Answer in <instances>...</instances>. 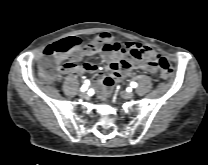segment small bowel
<instances>
[{
    "label": "small bowel",
    "instance_id": "small-bowel-1",
    "mask_svg": "<svg viewBox=\"0 0 208 165\" xmlns=\"http://www.w3.org/2000/svg\"><path fill=\"white\" fill-rule=\"evenodd\" d=\"M98 54L107 64V74L99 72L98 66L94 63H76V60L83 57H92ZM145 55L153 56L152 48L134 42H119L110 32L103 31L96 35L88 50L84 51L77 59L60 61L57 67L61 73L94 74V83L109 90L133 70L142 69L148 73H156V64L153 61L143 60Z\"/></svg>",
    "mask_w": 208,
    "mask_h": 165
}]
</instances>
